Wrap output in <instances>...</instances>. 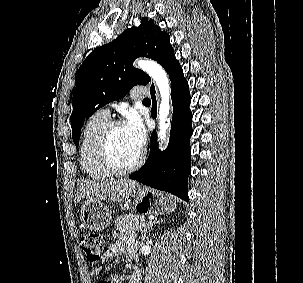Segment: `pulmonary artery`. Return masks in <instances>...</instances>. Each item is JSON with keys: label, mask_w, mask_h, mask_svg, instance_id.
Here are the masks:
<instances>
[{"label": "pulmonary artery", "mask_w": 303, "mask_h": 283, "mask_svg": "<svg viewBox=\"0 0 303 283\" xmlns=\"http://www.w3.org/2000/svg\"><path fill=\"white\" fill-rule=\"evenodd\" d=\"M148 89L144 86H137L134 87L130 93V96L133 99L139 100V99H143L146 98L148 96ZM103 114L110 116V110L108 108L102 109L100 110Z\"/></svg>", "instance_id": "1"}]
</instances>
